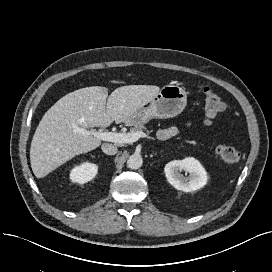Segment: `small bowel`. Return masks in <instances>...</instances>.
I'll return each mask as SVG.
<instances>
[{
	"label": "small bowel",
	"mask_w": 272,
	"mask_h": 272,
	"mask_svg": "<svg viewBox=\"0 0 272 272\" xmlns=\"http://www.w3.org/2000/svg\"><path fill=\"white\" fill-rule=\"evenodd\" d=\"M177 133H178L177 128L174 126H171V127L159 129L157 132V136L161 140H167L174 137Z\"/></svg>",
	"instance_id": "small-bowel-1"
}]
</instances>
